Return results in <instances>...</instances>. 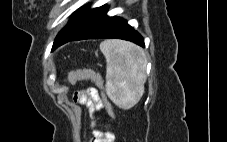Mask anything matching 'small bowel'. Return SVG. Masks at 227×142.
<instances>
[{"instance_id":"small-bowel-1","label":"small bowel","mask_w":227,"mask_h":142,"mask_svg":"<svg viewBox=\"0 0 227 142\" xmlns=\"http://www.w3.org/2000/svg\"><path fill=\"white\" fill-rule=\"evenodd\" d=\"M74 100L78 103L88 106L92 114L93 138L91 142H115L116 136L111 130L108 129L104 131L98 127L95 113L101 112L104 108L106 109L104 103L102 102L98 94V91L95 88L78 90L74 93ZM102 115L105 116V113H102Z\"/></svg>"}]
</instances>
